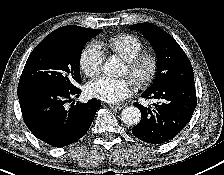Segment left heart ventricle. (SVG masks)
<instances>
[{"mask_svg":"<svg viewBox=\"0 0 224 175\" xmlns=\"http://www.w3.org/2000/svg\"><path fill=\"white\" fill-rule=\"evenodd\" d=\"M122 74L128 75V70H127V67L126 66H124Z\"/></svg>","mask_w":224,"mask_h":175,"instance_id":"1","label":"left heart ventricle"}]
</instances>
